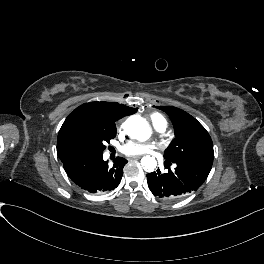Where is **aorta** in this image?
<instances>
[{
  "label": "aorta",
  "instance_id": "1",
  "mask_svg": "<svg viewBox=\"0 0 264 264\" xmlns=\"http://www.w3.org/2000/svg\"><path fill=\"white\" fill-rule=\"evenodd\" d=\"M127 133L128 135L133 138L137 139L139 141H145L148 139L150 135V129L148 124L138 117L130 118L127 123ZM156 161L154 157L151 156H145L141 159V165L145 169H153L155 166Z\"/></svg>",
  "mask_w": 264,
  "mask_h": 264
}]
</instances>
